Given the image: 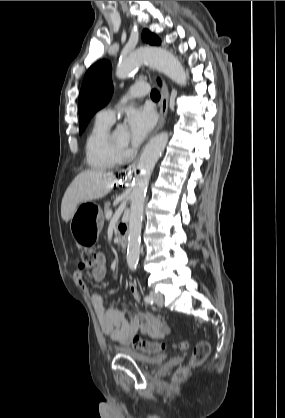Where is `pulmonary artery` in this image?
Segmentation results:
<instances>
[{
	"label": "pulmonary artery",
	"mask_w": 285,
	"mask_h": 418,
	"mask_svg": "<svg viewBox=\"0 0 285 418\" xmlns=\"http://www.w3.org/2000/svg\"><path fill=\"white\" fill-rule=\"evenodd\" d=\"M148 92H149V90H148L146 84L143 83V82H139V83H136L129 90V96L131 98H136V97L144 96V95L148 94ZM97 116L102 118V119H105L109 122H112L113 118H114V111L111 110V109H103V110H100L97 113Z\"/></svg>",
	"instance_id": "obj_1"
}]
</instances>
